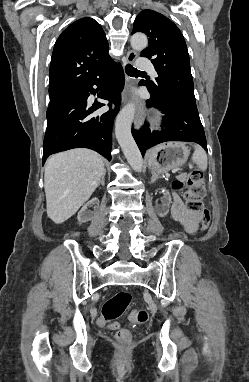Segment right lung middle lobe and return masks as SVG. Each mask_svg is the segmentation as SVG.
<instances>
[{
  "mask_svg": "<svg viewBox=\"0 0 249 382\" xmlns=\"http://www.w3.org/2000/svg\"><path fill=\"white\" fill-rule=\"evenodd\" d=\"M60 102H58V103H53V104H50L49 105V108H51V107H53V106H55V105H57V104H59Z\"/></svg>",
  "mask_w": 249,
  "mask_h": 382,
  "instance_id": "obj_1",
  "label": "right lung middle lobe"
}]
</instances>
